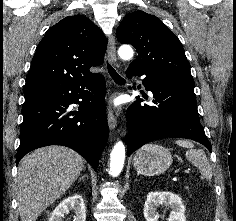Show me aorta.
<instances>
[{
	"mask_svg": "<svg viewBox=\"0 0 236 221\" xmlns=\"http://www.w3.org/2000/svg\"><path fill=\"white\" fill-rule=\"evenodd\" d=\"M118 54L120 58L124 60H130L133 57V49L130 45H122ZM125 161V146L123 142L118 141L110 154V174L113 177H116L120 174L123 169Z\"/></svg>",
	"mask_w": 236,
	"mask_h": 221,
	"instance_id": "aorta-1",
	"label": "aorta"
}]
</instances>
